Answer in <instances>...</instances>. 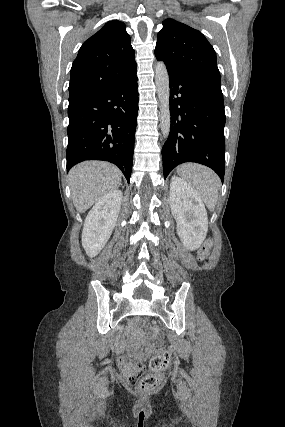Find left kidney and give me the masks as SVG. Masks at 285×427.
Here are the masks:
<instances>
[{
    "mask_svg": "<svg viewBox=\"0 0 285 427\" xmlns=\"http://www.w3.org/2000/svg\"><path fill=\"white\" fill-rule=\"evenodd\" d=\"M170 203L179 238L188 250L198 249L208 231L207 212L201 198L187 182L172 176Z\"/></svg>",
    "mask_w": 285,
    "mask_h": 427,
    "instance_id": "5707ae66",
    "label": "left kidney"
}]
</instances>
